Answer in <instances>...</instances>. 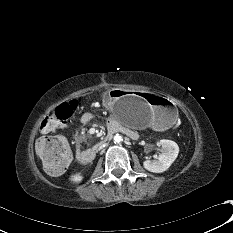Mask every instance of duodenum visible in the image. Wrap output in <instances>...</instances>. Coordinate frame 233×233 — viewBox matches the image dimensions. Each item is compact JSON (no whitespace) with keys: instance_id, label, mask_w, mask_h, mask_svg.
Instances as JSON below:
<instances>
[{"instance_id":"obj_1","label":"duodenum","mask_w":233,"mask_h":233,"mask_svg":"<svg viewBox=\"0 0 233 233\" xmlns=\"http://www.w3.org/2000/svg\"><path fill=\"white\" fill-rule=\"evenodd\" d=\"M116 133H124L126 135L133 136V132L130 131L129 129L122 127L116 123H112L109 125V129L106 135L102 138V143L109 141ZM96 154H97V148L80 150L78 152V160L82 164H89L95 159Z\"/></svg>"}]
</instances>
